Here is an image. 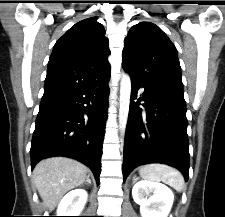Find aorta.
Masks as SVG:
<instances>
[{
    "mask_svg": "<svg viewBox=\"0 0 225 217\" xmlns=\"http://www.w3.org/2000/svg\"><path fill=\"white\" fill-rule=\"evenodd\" d=\"M131 95V79L128 74H124L120 82V108H119V128L122 133L125 132Z\"/></svg>",
    "mask_w": 225,
    "mask_h": 217,
    "instance_id": "obj_1",
    "label": "aorta"
}]
</instances>
